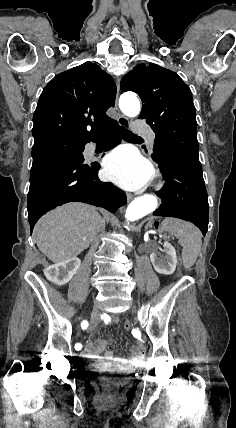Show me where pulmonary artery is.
I'll use <instances>...</instances> for the list:
<instances>
[{"instance_id": "obj_1", "label": "pulmonary artery", "mask_w": 236, "mask_h": 428, "mask_svg": "<svg viewBox=\"0 0 236 428\" xmlns=\"http://www.w3.org/2000/svg\"><path fill=\"white\" fill-rule=\"evenodd\" d=\"M148 140H149V142H150V143H153V142L155 141V135L150 136V137L148 138ZM86 150H87L89 153H92V152L95 150V146H94L93 144H90V145H88V146H87Z\"/></svg>"}]
</instances>
